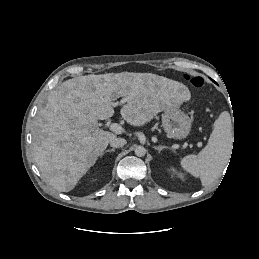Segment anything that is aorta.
<instances>
[{
	"instance_id": "1",
	"label": "aorta",
	"mask_w": 259,
	"mask_h": 259,
	"mask_svg": "<svg viewBox=\"0 0 259 259\" xmlns=\"http://www.w3.org/2000/svg\"><path fill=\"white\" fill-rule=\"evenodd\" d=\"M146 154V149L143 146H137L135 149V155L138 157H143Z\"/></svg>"
}]
</instances>
